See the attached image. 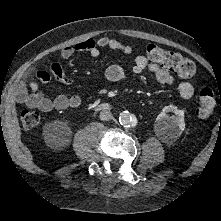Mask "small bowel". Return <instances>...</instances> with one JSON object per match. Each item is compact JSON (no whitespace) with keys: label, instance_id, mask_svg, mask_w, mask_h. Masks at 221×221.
I'll return each instance as SVG.
<instances>
[{"label":"small bowel","instance_id":"small-bowel-1","mask_svg":"<svg viewBox=\"0 0 221 221\" xmlns=\"http://www.w3.org/2000/svg\"><path fill=\"white\" fill-rule=\"evenodd\" d=\"M102 48L118 50L125 54H131L133 52L132 46L116 38L100 36L98 38H87L77 44L63 47L59 51V57L62 59H69L79 52H86L92 57H97ZM48 69L49 71L32 68L23 74L16 90L17 101L42 112L64 110L68 107H79L81 99L77 95L67 96L60 94L52 99L45 96L39 90V82H49L52 75L64 83H71V79L65 74L59 63L54 61L50 62ZM132 71L135 74L149 71L159 83L164 85H172L175 82V77L168 70L157 63L149 62L143 55H138L135 58ZM32 75H35L37 80H32ZM105 77L108 81L113 83L121 82L125 78V70L121 65L112 64L106 68ZM178 92L183 99H190L194 95V86L189 81H181L178 84Z\"/></svg>","mask_w":221,"mask_h":221}]
</instances>
